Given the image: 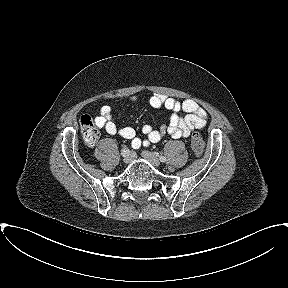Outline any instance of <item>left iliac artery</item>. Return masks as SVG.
Segmentation results:
<instances>
[{"label":"left iliac artery","instance_id":"obj_1","mask_svg":"<svg viewBox=\"0 0 288 288\" xmlns=\"http://www.w3.org/2000/svg\"><path fill=\"white\" fill-rule=\"evenodd\" d=\"M160 160H161L162 162H164V161L166 160V158H165L164 156H160Z\"/></svg>","mask_w":288,"mask_h":288}]
</instances>
